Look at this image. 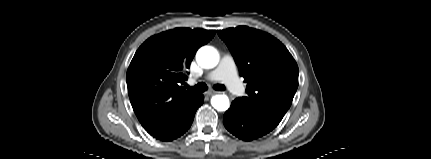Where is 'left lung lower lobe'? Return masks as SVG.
<instances>
[{
  "label": "left lung lower lobe",
  "instance_id": "1",
  "mask_svg": "<svg viewBox=\"0 0 431 159\" xmlns=\"http://www.w3.org/2000/svg\"><path fill=\"white\" fill-rule=\"evenodd\" d=\"M282 119L270 113L249 108L235 99L223 115L226 129L244 141L260 138L272 131Z\"/></svg>",
  "mask_w": 431,
  "mask_h": 159
}]
</instances>
